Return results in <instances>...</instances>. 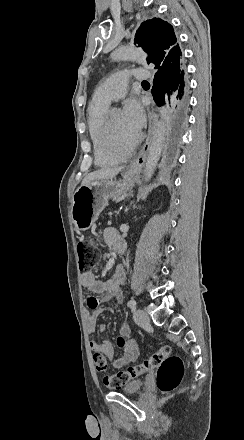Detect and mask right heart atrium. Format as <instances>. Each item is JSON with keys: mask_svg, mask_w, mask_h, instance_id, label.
Segmentation results:
<instances>
[{"mask_svg": "<svg viewBox=\"0 0 244 440\" xmlns=\"http://www.w3.org/2000/svg\"><path fill=\"white\" fill-rule=\"evenodd\" d=\"M136 137H137L136 135H131L130 139H136Z\"/></svg>", "mask_w": 244, "mask_h": 440, "instance_id": "d8ad5b80", "label": "right heart atrium"}]
</instances>
